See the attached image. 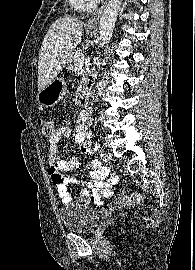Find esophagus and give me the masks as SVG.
Returning <instances> with one entry per match:
<instances>
[{"instance_id": "1", "label": "esophagus", "mask_w": 195, "mask_h": 270, "mask_svg": "<svg viewBox=\"0 0 195 270\" xmlns=\"http://www.w3.org/2000/svg\"><path fill=\"white\" fill-rule=\"evenodd\" d=\"M108 0H104L103 4L101 5V7L93 14V16L88 20L86 26L87 28L90 29H95L98 25L99 19L104 11V8L107 4Z\"/></svg>"}]
</instances>
